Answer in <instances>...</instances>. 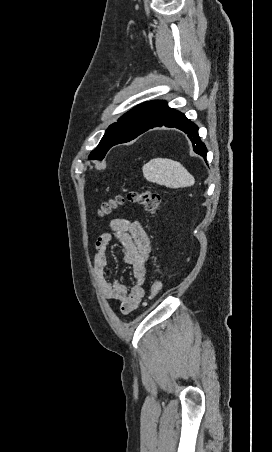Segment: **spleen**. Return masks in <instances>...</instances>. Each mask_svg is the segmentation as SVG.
Returning <instances> with one entry per match:
<instances>
[{"mask_svg": "<svg viewBox=\"0 0 272 452\" xmlns=\"http://www.w3.org/2000/svg\"><path fill=\"white\" fill-rule=\"evenodd\" d=\"M143 175L149 181L170 188L188 187L194 177L180 163L167 158H155L143 166Z\"/></svg>", "mask_w": 272, "mask_h": 452, "instance_id": "obj_1", "label": "spleen"}]
</instances>
